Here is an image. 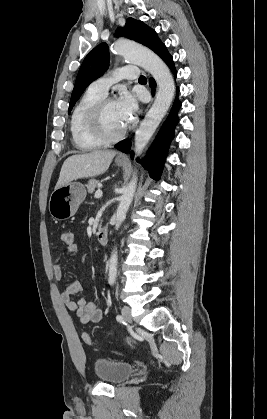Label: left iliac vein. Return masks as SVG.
Instances as JSON below:
<instances>
[{"instance_id":"1","label":"left iliac vein","mask_w":267,"mask_h":419,"mask_svg":"<svg viewBox=\"0 0 267 419\" xmlns=\"http://www.w3.org/2000/svg\"><path fill=\"white\" fill-rule=\"evenodd\" d=\"M122 315L126 321H128L129 323H132L131 311L128 307H123Z\"/></svg>"}]
</instances>
